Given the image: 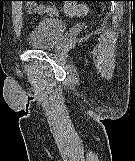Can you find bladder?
<instances>
[{
  "label": "bladder",
  "instance_id": "31cf9c89",
  "mask_svg": "<svg viewBox=\"0 0 135 161\" xmlns=\"http://www.w3.org/2000/svg\"><path fill=\"white\" fill-rule=\"evenodd\" d=\"M66 32L63 20L59 18H42L32 26L27 41L34 48H49L57 44Z\"/></svg>",
  "mask_w": 135,
  "mask_h": 161
}]
</instances>
